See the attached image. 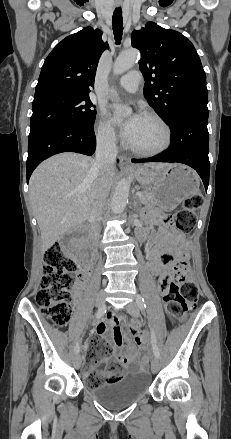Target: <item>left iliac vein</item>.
I'll return each mask as SVG.
<instances>
[{
    "instance_id": "4c4485c4",
    "label": "left iliac vein",
    "mask_w": 231,
    "mask_h": 439,
    "mask_svg": "<svg viewBox=\"0 0 231 439\" xmlns=\"http://www.w3.org/2000/svg\"><path fill=\"white\" fill-rule=\"evenodd\" d=\"M139 306L137 302L132 301L126 306V310L128 313H130L133 317L137 318L139 316ZM160 369V362L158 358H154L151 364V371L153 374L157 373Z\"/></svg>"
}]
</instances>
